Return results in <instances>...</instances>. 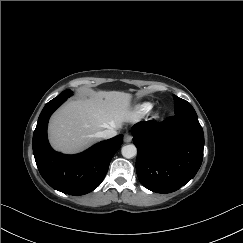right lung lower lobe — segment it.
Listing matches in <instances>:
<instances>
[{
	"label": "right lung lower lobe",
	"mask_w": 243,
	"mask_h": 243,
	"mask_svg": "<svg viewBox=\"0 0 243 243\" xmlns=\"http://www.w3.org/2000/svg\"><path fill=\"white\" fill-rule=\"evenodd\" d=\"M64 101L51 100L43 108L33 134V154L41 176L52 188L79 196L101 184L113 155L123 142V136L120 134L99 142L76 155L54 151L47 139V125L51 114Z\"/></svg>",
	"instance_id": "right-lung-lower-lobe-1"
}]
</instances>
